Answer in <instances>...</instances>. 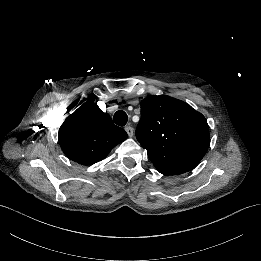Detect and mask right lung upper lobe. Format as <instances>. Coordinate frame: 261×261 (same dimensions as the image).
Listing matches in <instances>:
<instances>
[{
    "mask_svg": "<svg viewBox=\"0 0 261 261\" xmlns=\"http://www.w3.org/2000/svg\"><path fill=\"white\" fill-rule=\"evenodd\" d=\"M126 138L127 133L91 100L82 104L59 129L64 154L82 165L102 160Z\"/></svg>",
    "mask_w": 261,
    "mask_h": 261,
    "instance_id": "cb5924a9",
    "label": "right lung upper lobe"
}]
</instances>
